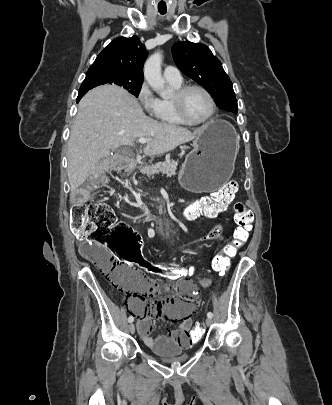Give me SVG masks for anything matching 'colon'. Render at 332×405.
I'll use <instances>...</instances> for the list:
<instances>
[{
	"label": "colon",
	"mask_w": 332,
	"mask_h": 405,
	"mask_svg": "<svg viewBox=\"0 0 332 405\" xmlns=\"http://www.w3.org/2000/svg\"><path fill=\"white\" fill-rule=\"evenodd\" d=\"M100 181L106 182L107 177H101ZM236 191L237 182L228 181L210 196L196 200L190 209L201 214L221 212L233 200ZM87 198L88 191H78L73 195L70 226L76 235L86 237L79 247L80 255L94 264L112 284L121 288L122 267L158 273L160 278H168L169 282H174L180 277V272L186 271L185 267L164 266L153 258H141L143 238L129 224L118 221L110 206L89 203ZM234 221L236 228L232 241L213 259V269L219 274L228 271L231 259L249 237L253 217L241 202L234 205ZM210 233L211 236H226L227 230L226 227H211ZM114 256H120L121 264ZM205 329V322H194L192 331L187 334L190 349L202 346Z\"/></svg>",
	"instance_id": "obj_1"
}]
</instances>
